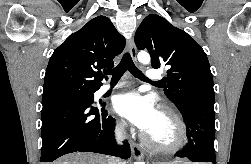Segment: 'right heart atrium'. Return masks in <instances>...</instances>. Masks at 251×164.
Listing matches in <instances>:
<instances>
[{"instance_id": "right-heart-atrium-1", "label": "right heart atrium", "mask_w": 251, "mask_h": 164, "mask_svg": "<svg viewBox=\"0 0 251 164\" xmlns=\"http://www.w3.org/2000/svg\"><path fill=\"white\" fill-rule=\"evenodd\" d=\"M124 122L123 121H118L117 123H116V130L118 131V132H123V130H124Z\"/></svg>"}]
</instances>
